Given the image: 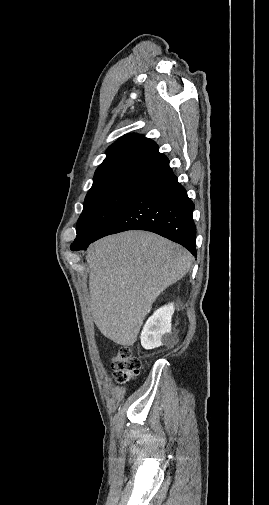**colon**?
Segmentation results:
<instances>
[{"instance_id":"obj_1","label":"colon","mask_w":269,"mask_h":505,"mask_svg":"<svg viewBox=\"0 0 269 505\" xmlns=\"http://www.w3.org/2000/svg\"><path fill=\"white\" fill-rule=\"evenodd\" d=\"M111 368L115 381L125 383L138 375L141 361L128 347H121L112 357Z\"/></svg>"}]
</instances>
